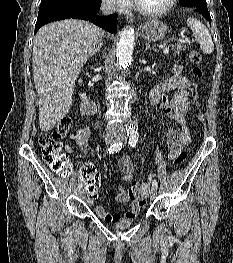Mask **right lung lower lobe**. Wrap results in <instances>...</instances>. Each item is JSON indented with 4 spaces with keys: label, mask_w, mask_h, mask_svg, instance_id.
I'll list each match as a JSON object with an SVG mask.
<instances>
[{
    "label": "right lung lower lobe",
    "mask_w": 233,
    "mask_h": 263,
    "mask_svg": "<svg viewBox=\"0 0 233 263\" xmlns=\"http://www.w3.org/2000/svg\"><path fill=\"white\" fill-rule=\"evenodd\" d=\"M101 0H80L76 8L69 14L57 15L45 19L35 24V33L38 29L52 21L61 20L65 18H78L89 20L90 22L100 26L104 30L115 33L117 31V14H112L105 17H100L97 12L100 10Z\"/></svg>",
    "instance_id": "98d812e1"
}]
</instances>
